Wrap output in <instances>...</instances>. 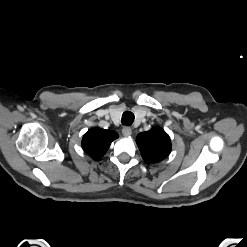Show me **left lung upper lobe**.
Segmentation results:
<instances>
[{
	"mask_svg": "<svg viewBox=\"0 0 247 247\" xmlns=\"http://www.w3.org/2000/svg\"><path fill=\"white\" fill-rule=\"evenodd\" d=\"M136 142L143 159L149 163H158L164 160L171 152L170 137L160 127L140 133Z\"/></svg>",
	"mask_w": 247,
	"mask_h": 247,
	"instance_id": "5c2ea615",
	"label": "left lung upper lobe"
}]
</instances>
